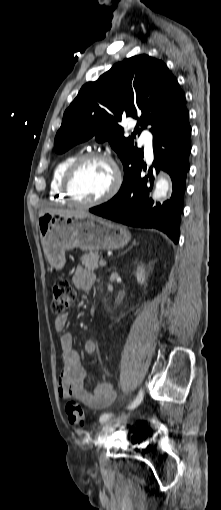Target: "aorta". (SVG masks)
Segmentation results:
<instances>
[{"instance_id":"aorta-1","label":"aorta","mask_w":221,"mask_h":510,"mask_svg":"<svg viewBox=\"0 0 221 510\" xmlns=\"http://www.w3.org/2000/svg\"><path fill=\"white\" fill-rule=\"evenodd\" d=\"M169 190V182L167 179L160 177L156 183V188L153 193L154 199L166 197Z\"/></svg>"}]
</instances>
